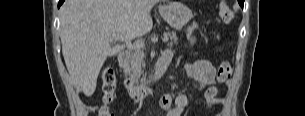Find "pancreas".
Segmentation results:
<instances>
[{
    "instance_id": "obj_1",
    "label": "pancreas",
    "mask_w": 305,
    "mask_h": 116,
    "mask_svg": "<svg viewBox=\"0 0 305 116\" xmlns=\"http://www.w3.org/2000/svg\"><path fill=\"white\" fill-rule=\"evenodd\" d=\"M167 36L170 38V45L177 43L178 38L175 33H168ZM130 58L128 63L125 65V72L129 75L130 79L137 85H142L145 82V78L141 77L143 68L145 67L144 53L141 49L131 48L129 51Z\"/></svg>"
}]
</instances>
